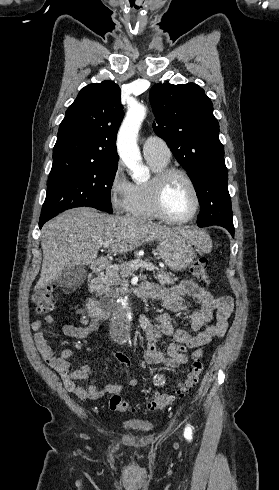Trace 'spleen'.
<instances>
[{
	"instance_id": "obj_1",
	"label": "spleen",
	"mask_w": 279,
	"mask_h": 490,
	"mask_svg": "<svg viewBox=\"0 0 279 490\" xmlns=\"http://www.w3.org/2000/svg\"><path fill=\"white\" fill-rule=\"evenodd\" d=\"M202 250L201 252H205V254H208V252H211V242L210 238H208L207 234H202Z\"/></svg>"
}]
</instances>
